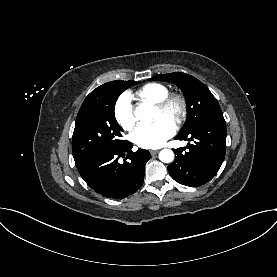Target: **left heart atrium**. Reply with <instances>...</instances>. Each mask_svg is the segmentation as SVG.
I'll return each instance as SVG.
<instances>
[{"mask_svg":"<svg viewBox=\"0 0 277 277\" xmlns=\"http://www.w3.org/2000/svg\"><path fill=\"white\" fill-rule=\"evenodd\" d=\"M176 127L172 120L161 117L154 123L140 125L132 134V140L142 148H158L175 134Z\"/></svg>","mask_w":277,"mask_h":277,"instance_id":"obj_1","label":"left heart atrium"}]
</instances>
